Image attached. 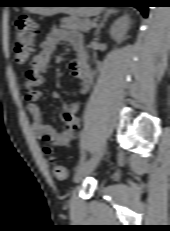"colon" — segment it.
Wrapping results in <instances>:
<instances>
[{"mask_svg":"<svg viewBox=\"0 0 170 231\" xmlns=\"http://www.w3.org/2000/svg\"><path fill=\"white\" fill-rule=\"evenodd\" d=\"M15 33L14 58L16 63L23 65L28 61L35 49L36 23L28 14H21L15 21ZM30 76V73L27 71L25 78ZM44 153L50 155L51 149L45 147ZM52 172L60 180H65L69 177L68 170L64 166L54 162L52 164Z\"/></svg>","mask_w":170,"mask_h":231,"instance_id":"1","label":"colon"}]
</instances>
